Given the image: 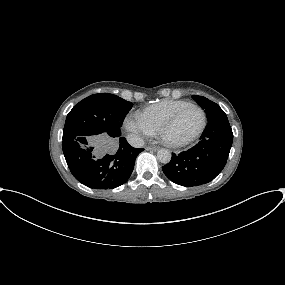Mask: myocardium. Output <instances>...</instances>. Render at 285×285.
I'll return each mask as SVG.
<instances>
[{
    "instance_id": "f54148a6",
    "label": "myocardium",
    "mask_w": 285,
    "mask_h": 285,
    "mask_svg": "<svg viewBox=\"0 0 285 285\" xmlns=\"http://www.w3.org/2000/svg\"><path fill=\"white\" fill-rule=\"evenodd\" d=\"M188 108H196L200 111L202 114V123L197 132H195L193 135L182 139V140H173L168 136V132L174 127V125L177 123L179 120L180 116L184 113L185 110ZM207 124V117L205 111L198 105L196 104H188L181 109H179L169 120H167L164 124L161 125L159 129V134L164 141L165 144H167L170 147H183L185 145H188L189 143L193 142L196 140L204 131L205 127Z\"/></svg>"
}]
</instances>
